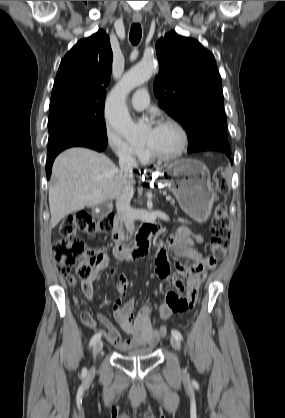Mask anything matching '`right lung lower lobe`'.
<instances>
[{
	"label": "right lung lower lobe",
	"mask_w": 285,
	"mask_h": 418,
	"mask_svg": "<svg viewBox=\"0 0 285 418\" xmlns=\"http://www.w3.org/2000/svg\"><path fill=\"white\" fill-rule=\"evenodd\" d=\"M75 146H81V147H87V148H91L94 150H97L99 152L104 151L107 144H103L97 141H92V140H77L74 142H70L62 147H60L59 149H57L55 152H53L52 154L48 155V160L46 163V174H47V178H50L51 175V169H52V164L53 161L55 159V157L64 149L70 148V147H75Z\"/></svg>",
	"instance_id": "98d812e1"
}]
</instances>
